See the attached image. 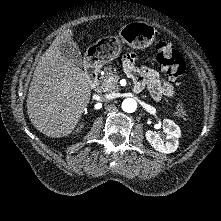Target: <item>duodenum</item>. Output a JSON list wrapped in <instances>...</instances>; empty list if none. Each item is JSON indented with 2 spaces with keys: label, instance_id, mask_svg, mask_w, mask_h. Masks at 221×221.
<instances>
[{
  "label": "duodenum",
  "instance_id": "410a0bca",
  "mask_svg": "<svg viewBox=\"0 0 221 221\" xmlns=\"http://www.w3.org/2000/svg\"><path fill=\"white\" fill-rule=\"evenodd\" d=\"M99 69L93 58H89L85 65V74L91 85L96 84Z\"/></svg>",
  "mask_w": 221,
  "mask_h": 221
}]
</instances>
